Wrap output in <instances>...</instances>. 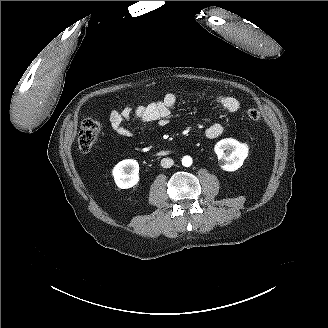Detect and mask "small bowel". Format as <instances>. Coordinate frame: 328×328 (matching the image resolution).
<instances>
[{
    "instance_id": "obj_1",
    "label": "small bowel",
    "mask_w": 328,
    "mask_h": 328,
    "mask_svg": "<svg viewBox=\"0 0 328 328\" xmlns=\"http://www.w3.org/2000/svg\"><path fill=\"white\" fill-rule=\"evenodd\" d=\"M200 92L190 91L189 96H198ZM215 101L225 110L235 113L240 109V101L229 95H217ZM178 97L175 93H167L163 100L141 105L136 108L124 107L121 110H112L108 120L111 129L120 136L130 137L131 131L125 126L127 121H137L140 123H155L160 127L167 124L172 109L176 106ZM206 136L209 139H216L223 133L221 124L215 123L206 129Z\"/></svg>"
}]
</instances>
